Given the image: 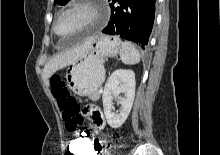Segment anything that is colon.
<instances>
[{"label": "colon", "mask_w": 220, "mask_h": 155, "mask_svg": "<svg viewBox=\"0 0 220 155\" xmlns=\"http://www.w3.org/2000/svg\"><path fill=\"white\" fill-rule=\"evenodd\" d=\"M52 95L62 111L65 127L69 132H75L69 139L65 150L68 155H91V147L102 152V149H115V144H103L100 139H95L94 145L91 139L90 125L83 122L80 106L71 96L65 81L59 75H53L50 79ZM84 115L86 113H83Z\"/></svg>", "instance_id": "1"}]
</instances>
